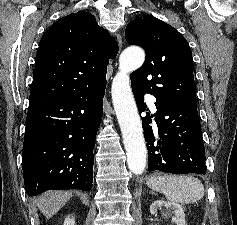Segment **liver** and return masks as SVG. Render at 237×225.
<instances>
[{"instance_id":"6515ba94","label":"liver","mask_w":237,"mask_h":225,"mask_svg":"<svg viewBox=\"0 0 237 225\" xmlns=\"http://www.w3.org/2000/svg\"><path fill=\"white\" fill-rule=\"evenodd\" d=\"M72 197V193L66 191H49L36 199L37 206L46 218L56 214Z\"/></svg>"}]
</instances>
